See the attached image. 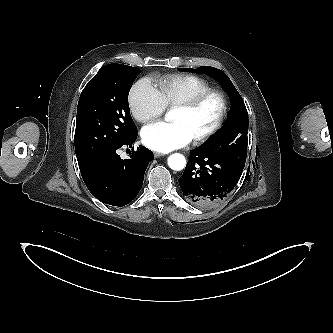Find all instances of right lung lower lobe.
<instances>
[{"instance_id":"98d812e1","label":"right lung lower lobe","mask_w":333,"mask_h":333,"mask_svg":"<svg viewBox=\"0 0 333 333\" xmlns=\"http://www.w3.org/2000/svg\"><path fill=\"white\" fill-rule=\"evenodd\" d=\"M137 134L136 132L124 144L79 164L87 188L98 200L121 207L129 204L139 193L145 170L153 160L152 151L139 146L135 152H132L130 159L125 160L116 153V150L123 145L131 147Z\"/></svg>"}]
</instances>
